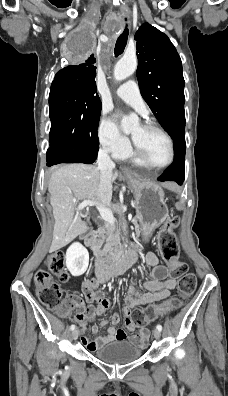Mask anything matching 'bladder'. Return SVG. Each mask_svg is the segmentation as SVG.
Listing matches in <instances>:
<instances>
[{
  "label": "bladder",
  "instance_id": "1",
  "mask_svg": "<svg viewBox=\"0 0 228 396\" xmlns=\"http://www.w3.org/2000/svg\"><path fill=\"white\" fill-rule=\"evenodd\" d=\"M143 347L126 340H116L98 346L90 353L98 360L111 365L132 363L143 355Z\"/></svg>",
  "mask_w": 228,
  "mask_h": 396
}]
</instances>
